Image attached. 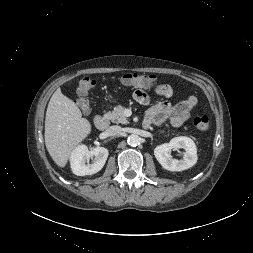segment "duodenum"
<instances>
[{"mask_svg": "<svg viewBox=\"0 0 253 253\" xmlns=\"http://www.w3.org/2000/svg\"><path fill=\"white\" fill-rule=\"evenodd\" d=\"M108 118L105 114L95 116L94 125L99 130H104L108 127Z\"/></svg>", "mask_w": 253, "mask_h": 253, "instance_id": "obj_1", "label": "duodenum"}]
</instances>
